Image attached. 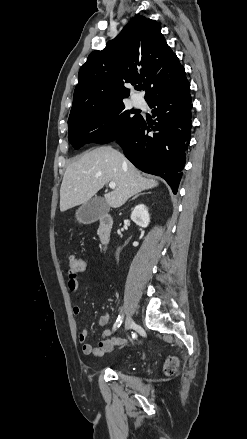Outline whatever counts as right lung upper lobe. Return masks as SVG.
Listing matches in <instances>:
<instances>
[{"label": "right lung upper lobe", "mask_w": 247, "mask_h": 439, "mask_svg": "<svg viewBox=\"0 0 247 439\" xmlns=\"http://www.w3.org/2000/svg\"><path fill=\"white\" fill-rule=\"evenodd\" d=\"M160 25L137 16L81 67L69 117L129 96L127 84L144 82L145 100L184 85L185 69L167 45Z\"/></svg>", "instance_id": "1"}]
</instances>
